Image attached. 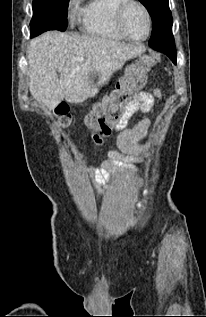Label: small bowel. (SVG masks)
I'll return each mask as SVG.
<instances>
[{"label": "small bowel", "mask_w": 206, "mask_h": 317, "mask_svg": "<svg viewBox=\"0 0 206 317\" xmlns=\"http://www.w3.org/2000/svg\"><path fill=\"white\" fill-rule=\"evenodd\" d=\"M162 95L158 89L152 93L141 92L134 100H132L125 111V114L116 125L117 146L127 156H122L117 151H111L108 154V161L105 165H116L130 170H135L133 163L139 162V155L145 151V145L139 143L144 138L152 123L151 119L146 118L137 123L133 128L126 129L129 119L138 110L145 113L151 111L155 98L161 99ZM95 182L98 186H104L107 182H112L113 178L110 172L104 168H98L94 171Z\"/></svg>", "instance_id": "small-bowel-1"}]
</instances>
